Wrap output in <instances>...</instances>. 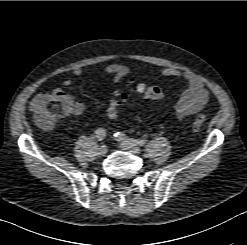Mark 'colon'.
<instances>
[{
    "label": "colon",
    "instance_id": "obj_1",
    "mask_svg": "<svg viewBox=\"0 0 247 245\" xmlns=\"http://www.w3.org/2000/svg\"><path fill=\"white\" fill-rule=\"evenodd\" d=\"M125 85H121L114 93L113 98L106 110V116L109 120H116L122 101L126 98ZM135 91L147 99H160L163 91L160 87L152 84H138ZM70 109L69 101L59 93H44L35 97L31 102V110L35 122L42 129H50L55 122L63 116H66ZM205 122L203 115L198 114L194 118V127L200 128Z\"/></svg>",
    "mask_w": 247,
    "mask_h": 245
}]
</instances>
